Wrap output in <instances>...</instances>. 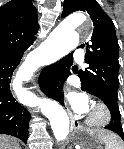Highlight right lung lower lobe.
I'll return each instance as SVG.
<instances>
[{
    "label": "right lung lower lobe",
    "instance_id": "right-lung-lower-lobe-1",
    "mask_svg": "<svg viewBox=\"0 0 124 149\" xmlns=\"http://www.w3.org/2000/svg\"><path fill=\"white\" fill-rule=\"evenodd\" d=\"M24 52L0 54V134L12 135L27 143L30 114L10 91L12 74Z\"/></svg>",
    "mask_w": 124,
    "mask_h": 149
}]
</instances>
